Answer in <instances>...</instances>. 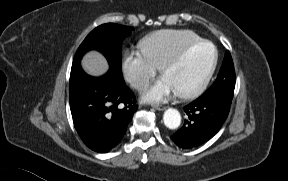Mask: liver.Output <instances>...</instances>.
I'll return each instance as SVG.
<instances>
[{"mask_svg":"<svg viewBox=\"0 0 288 181\" xmlns=\"http://www.w3.org/2000/svg\"><path fill=\"white\" fill-rule=\"evenodd\" d=\"M82 68L90 75L100 76L107 72L108 63L105 57L97 52L90 51L82 59Z\"/></svg>","mask_w":288,"mask_h":181,"instance_id":"6515ba94","label":"liver"}]
</instances>
